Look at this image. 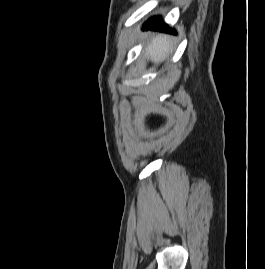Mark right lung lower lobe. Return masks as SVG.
Segmentation results:
<instances>
[{"mask_svg": "<svg viewBox=\"0 0 265 269\" xmlns=\"http://www.w3.org/2000/svg\"><path fill=\"white\" fill-rule=\"evenodd\" d=\"M144 29H155L166 32H175L173 29H170L160 17H154L146 22Z\"/></svg>", "mask_w": 265, "mask_h": 269, "instance_id": "right-lung-lower-lobe-1", "label": "right lung lower lobe"}]
</instances>
